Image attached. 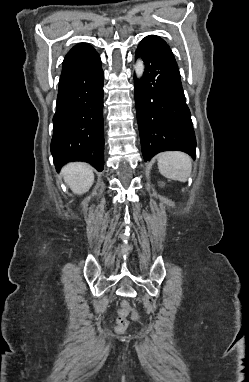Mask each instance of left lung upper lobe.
I'll return each mask as SVG.
<instances>
[{
  "label": "left lung upper lobe",
  "instance_id": "5c2ea615",
  "mask_svg": "<svg viewBox=\"0 0 249 382\" xmlns=\"http://www.w3.org/2000/svg\"><path fill=\"white\" fill-rule=\"evenodd\" d=\"M148 37L153 38L154 40H156V41L160 42L161 44H163L165 47L169 48V46L166 44V42L163 39H161L160 37L155 36V35H150Z\"/></svg>",
  "mask_w": 249,
  "mask_h": 382
}]
</instances>
